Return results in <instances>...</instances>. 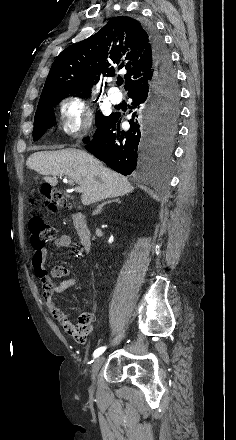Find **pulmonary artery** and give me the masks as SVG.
Returning <instances> with one entry per match:
<instances>
[{"label": "pulmonary artery", "instance_id": "1", "mask_svg": "<svg viewBox=\"0 0 236 440\" xmlns=\"http://www.w3.org/2000/svg\"><path fill=\"white\" fill-rule=\"evenodd\" d=\"M108 97L114 104L120 103L122 100V95L117 89H111L108 93Z\"/></svg>", "mask_w": 236, "mask_h": 440}]
</instances>
